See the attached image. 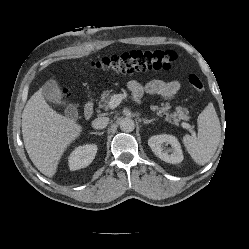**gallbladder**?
Here are the masks:
<instances>
[{
  "mask_svg": "<svg viewBox=\"0 0 249 249\" xmlns=\"http://www.w3.org/2000/svg\"><path fill=\"white\" fill-rule=\"evenodd\" d=\"M43 95L46 100L54 104H62V92L53 79L48 80L43 86ZM65 115L70 119H77L78 111L75 105L69 104L65 109Z\"/></svg>",
  "mask_w": 249,
  "mask_h": 249,
  "instance_id": "gallbladder-1",
  "label": "gallbladder"
}]
</instances>
